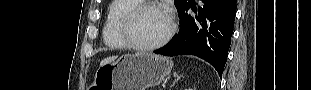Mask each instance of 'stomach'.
<instances>
[{
	"instance_id": "obj_1",
	"label": "stomach",
	"mask_w": 311,
	"mask_h": 90,
	"mask_svg": "<svg viewBox=\"0 0 311 90\" xmlns=\"http://www.w3.org/2000/svg\"><path fill=\"white\" fill-rule=\"evenodd\" d=\"M173 62L147 52L121 57L115 63L100 66L89 90H146L170 74Z\"/></svg>"
}]
</instances>
